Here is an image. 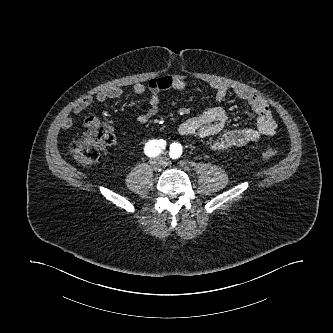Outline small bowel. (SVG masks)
<instances>
[{
    "label": "small bowel",
    "instance_id": "small-bowel-1",
    "mask_svg": "<svg viewBox=\"0 0 333 333\" xmlns=\"http://www.w3.org/2000/svg\"><path fill=\"white\" fill-rule=\"evenodd\" d=\"M211 88L215 91L217 102H222L227 96L229 89L221 83H212ZM182 92L186 89V81L181 75H164L150 79L147 85L137 83L133 91L137 95L149 93V107L138 115L140 123L148 122L159 112L160 93L166 90ZM235 95L245 101L256 115V128H240L221 133L227 120L225 111L220 107L210 108L198 116L189 118L179 125L178 131L183 136L197 135L208 141L214 152H225L234 147H240L250 142L258 141L262 136H272L276 133L278 125L273 118L267 103L257 94L244 89H235ZM123 95L120 88L112 87L97 93L95 100L103 103L108 99H117ZM94 101L92 96H85L73 107L72 112L79 115ZM73 125V120L66 117L62 120L63 129ZM82 125L88 130L100 126V121L94 116L83 119ZM110 130H112L110 128Z\"/></svg>",
    "mask_w": 333,
    "mask_h": 333
}]
</instances>
